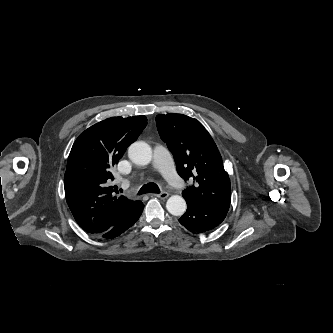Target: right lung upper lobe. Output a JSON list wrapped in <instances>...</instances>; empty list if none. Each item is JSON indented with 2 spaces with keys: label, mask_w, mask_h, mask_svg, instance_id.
<instances>
[{
  "label": "right lung upper lobe",
  "mask_w": 333,
  "mask_h": 333,
  "mask_svg": "<svg viewBox=\"0 0 333 333\" xmlns=\"http://www.w3.org/2000/svg\"><path fill=\"white\" fill-rule=\"evenodd\" d=\"M147 125L144 115L111 117L85 130L74 142L67 161L64 188L78 225L98 237L133 214L141 201L116 199L112 168Z\"/></svg>",
  "instance_id": "cb5924a9"
}]
</instances>
